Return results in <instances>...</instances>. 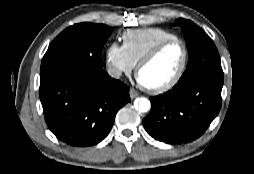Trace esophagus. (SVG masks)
Instances as JSON below:
<instances>
[{
	"label": "esophagus",
	"instance_id": "34e87169",
	"mask_svg": "<svg viewBox=\"0 0 254 174\" xmlns=\"http://www.w3.org/2000/svg\"><path fill=\"white\" fill-rule=\"evenodd\" d=\"M129 95L131 99H134L139 95V93L135 89L131 88L129 91Z\"/></svg>",
	"mask_w": 254,
	"mask_h": 174
}]
</instances>
